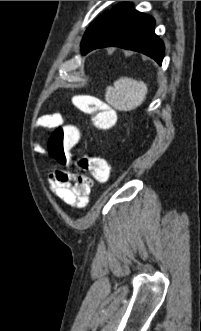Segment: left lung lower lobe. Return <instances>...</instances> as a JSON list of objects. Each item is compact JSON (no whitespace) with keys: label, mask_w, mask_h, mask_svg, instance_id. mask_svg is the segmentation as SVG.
<instances>
[{"label":"left lung lower lobe","mask_w":201,"mask_h":331,"mask_svg":"<svg viewBox=\"0 0 201 331\" xmlns=\"http://www.w3.org/2000/svg\"><path fill=\"white\" fill-rule=\"evenodd\" d=\"M154 25L151 16L132 9L130 3H122L110 10L81 42V52L85 55L93 49L115 46L141 52L161 65L164 45Z\"/></svg>","instance_id":"obj_1"}]
</instances>
